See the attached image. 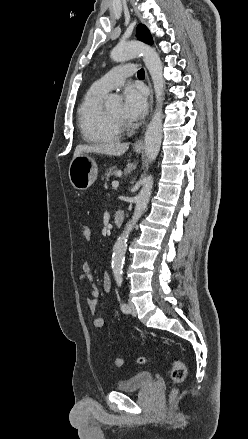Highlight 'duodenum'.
Instances as JSON below:
<instances>
[{
  "label": "duodenum",
  "instance_id": "410a0bca",
  "mask_svg": "<svg viewBox=\"0 0 248 439\" xmlns=\"http://www.w3.org/2000/svg\"><path fill=\"white\" fill-rule=\"evenodd\" d=\"M124 217H125V215H124L123 210L117 209L114 212V216H113L114 225L117 227L121 226L124 222Z\"/></svg>",
  "mask_w": 248,
  "mask_h": 439
}]
</instances>
